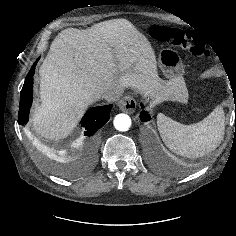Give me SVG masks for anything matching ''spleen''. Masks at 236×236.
Listing matches in <instances>:
<instances>
[{
  "label": "spleen",
  "instance_id": "spleen-1",
  "mask_svg": "<svg viewBox=\"0 0 236 236\" xmlns=\"http://www.w3.org/2000/svg\"><path fill=\"white\" fill-rule=\"evenodd\" d=\"M157 126L165 145L178 155L188 158L203 157L222 142L225 131L224 111L217 106L202 121L184 125L163 113L157 115Z\"/></svg>",
  "mask_w": 236,
  "mask_h": 236
}]
</instances>
